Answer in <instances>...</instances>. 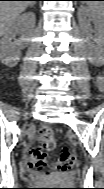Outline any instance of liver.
I'll return each instance as SVG.
<instances>
[{
  "label": "liver",
  "instance_id": "obj_1",
  "mask_svg": "<svg viewBox=\"0 0 104 189\" xmlns=\"http://www.w3.org/2000/svg\"><path fill=\"white\" fill-rule=\"evenodd\" d=\"M31 1H1L0 2V33L4 35L11 27L16 17L21 14Z\"/></svg>",
  "mask_w": 104,
  "mask_h": 189
}]
</instances>
